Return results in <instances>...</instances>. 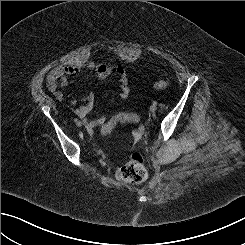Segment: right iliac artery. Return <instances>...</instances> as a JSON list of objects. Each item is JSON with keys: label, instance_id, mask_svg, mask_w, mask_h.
Instances as JSON below:
<instances>
[{"label": "right iliac artery", "instance_id": "obj_1", "mask_svg": "<svg viewBox=\"0 0 245 245\" xmlns=\"http://www.w3.org/2000/svg\"><path fill=\"white\" fill-rule=\"evenodd\" d=\"M74 122H75L76 124H78V123H79V120H78L77 118H75V119H74Z\"/></svg>", "mask_w": 245, "mask_h": 245}]
</instances>
